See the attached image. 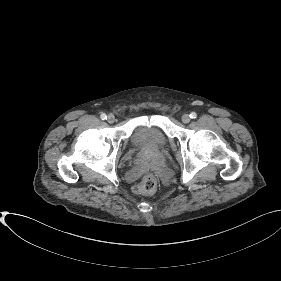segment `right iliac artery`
<instances>
[{"mask_svg":"<svg viewBox=\"0 0 281 281\" xmlns=\"http://www.w3.org/2000/svg\"><path fill=\"white\" fill-rule=\"evenodd\" d=\"M100 118H101L102 120H105V119H107V116H106V114L103 113V114L100 115Z\"/></svg>","mask_w":281,"mask_h":281,"instance_id":"right-iliac-artery-1","label":"right iliac artery"}]
</instances>
